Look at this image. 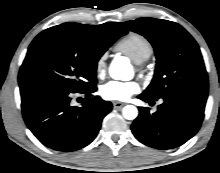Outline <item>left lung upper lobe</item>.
<instances>
[{"instance_id":"obj_1","label":"left lung upper lobe","mask_w":220,"mask_h":173,"mask_svg":"<svg viewBox=\"0 0 220 173\" xmlns=\"http://www.w3.org/2000/svg\"><path fill=\"white\" fill-rule=\"evenodd\" d=\"M121 24L146 37L155 50L154 77L143 95L152 99L175 94L208 96L207 72L199 46L182 26L155 18H139Z\"/></svg>"}]
</instances>
